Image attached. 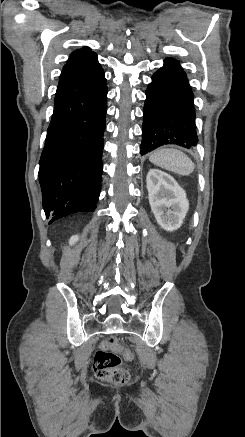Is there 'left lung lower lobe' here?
<instances>
[{
	"mask_svg": "<svg viewBox=\"0 0 245 437\" xmlns=\"http://www.w3.org/2000/svg\"><path fill=\"white\" fill-rule=\"evenodd\" d=\"M152 79L143 109L141 155L172 144L193 149L198 142L194 95L179 61L165 59Z\"/></svg>",
	"mask_w": 245,
	"mask_h": 437,
	"instance_id": "1",
	"label": "left lung lower lobe"
}]
</instances>
